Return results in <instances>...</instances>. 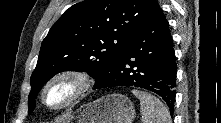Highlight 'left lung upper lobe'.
Instances as JSON below:
<instances>
[{
	"label": "left lung upper lobe",
	"mask_w": 221,
	"mask_h": 123,
	"mask_svg": "<svg viewBox=\"0 0 221 123\" xmlns=\"http://www.w3.org/2000/svg\"><path fill=\"white\" fill-rule=\"evenodd\" d=\"M158 6L155 0H85L67 9L42 42L30 79L29 112L55 74L86 71L97 79L107 71Z\"/></svg>",
	"instance_id": "5c2ea615"
}]
</instances>
